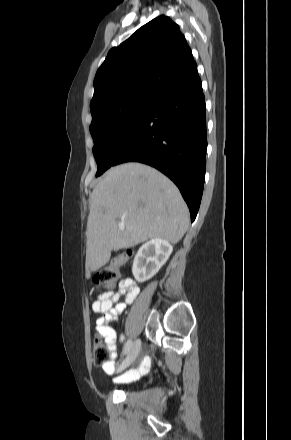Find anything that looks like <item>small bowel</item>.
I'll return each instance as SVG.
<instances>
[{
	"mask_svg": "<svg viewBox=\"0 0 291 440\" xmlns=\"http://www.w3.org/2000/svg\"><path fill=\"white\" fill-rule=\"evenodd\" d=\"M120 289L125 291L122 301H119V294L115 292H106L97 297L92 304L93 312L102 314L97 321L95 330L102 335L109 347L111 358L108 362L102 364L103 370L107 374H111L115 369L116 359V333L111 324L117 321L118 317L124 312L139 294V287L130 279H123L120 282ZM150 367V359L145 357L142 359L138 370H130L124 375L117 377L115 381H129L137 378L139 373L148 371Z\"/></svg>",
	"mask_w": 291,
	"mask_h": 440,
	"instance_id": "c3829d8e",
	"label": "small bowel"
}]
</instances>
